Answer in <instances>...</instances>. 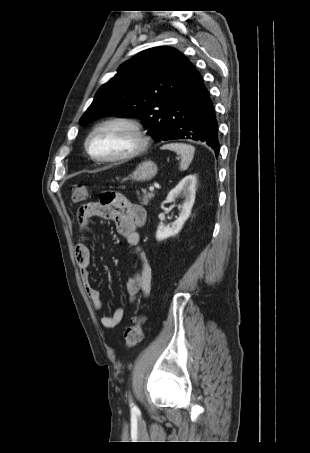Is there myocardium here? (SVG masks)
<instances>
[{
  "instance_id": "obj_1",
  "label": "myocardium",
  "mask_w": 310,
  "mask_h": 453,
  "mask_svg": "<svg viewBox=\"0 0 310 453\" xmlns=\"http://www.w3.org/2000/svg\"><path fill=\"white\" fill-rule=\"evenodd\" d=\"M111 125H123L129 128L133 135L135 136L136 139V146L134 149L131 151L113 156V157H101L96 154H94L90 148V141L92 137L99 132L100 130L111 126ZM149 145V139L141 126V124L136 121L135 119L132 118H127V117H114V118H109L107 120H104L97 125L93 127V129L89 132V134L86 137L84 147L87 152V154L90 156V158L96 162L99 163H117V162H124L130 159H133L140 154H142L144 151L147 150Z\"/></svg>"
}]
</instances>
